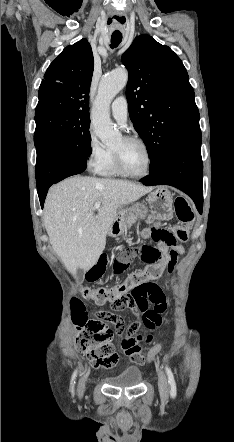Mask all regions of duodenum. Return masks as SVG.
<instances>
[{
  "instance_id": "obj_1",
  "label": "duodenum",
  "mask_w": 234,
  "mask_h": 442,
  "mask_svg": "<svg viewBox=\"0 0 234 442\" xmlns=\"http://www.w3.org/2000/svg\"><path fill=\"white\" fill-rule=\"evenodd\" d=\"M119 231H120V226H119V224L114 223V224L111 226V229H110V235L115 236V235H117V234L119 233Z\"/></svg>"
}]
</instances>
